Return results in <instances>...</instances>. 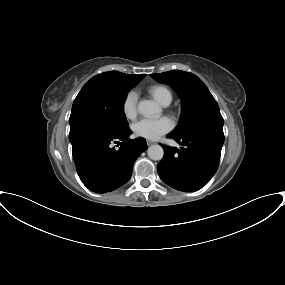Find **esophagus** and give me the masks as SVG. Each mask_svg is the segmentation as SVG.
Masks as SVG:
<instances>
[{
	"label": "esophagus",
	"instance_id": "esophagus-1",
	"mask_svg": "<svg viewBox=\"0 0 285 285\" xmlns=\"http://www.w3.org/2000/svg\"><path fill=\"white\" fill-rule=\"evenodd\" d=\"M152 144H154V142H153V141H151V140H147V145H148V146H150V145H152Z\"/></svg>",
	"mask_w": 285,
	"mask_h": 285
}]
</instances>
